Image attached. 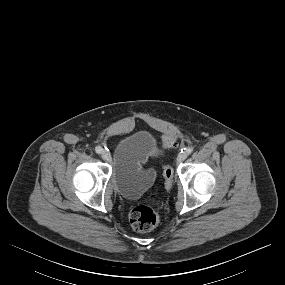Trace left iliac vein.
<instances>
[{
    "instance_id": "4c4485c4",
    "label": "left iliac vein",
    "mask_w": 285,
    "mask_h": 285,
    "mask_svg": "<svg viewBox=\"0 0 285 285\" xmlns=\"http://www.w3.org/2000/svg\"><path fill=\"white\" fill-rule=\"evenodd\" d=\"M187 158V154L185 152L179 153L177 157L178 162H183Z\"/></svg>"
}]
</instances>
